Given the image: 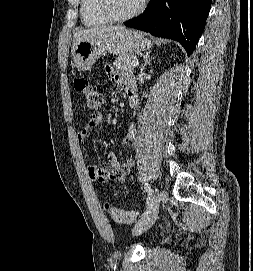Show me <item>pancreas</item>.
Masks as SVG:
<instances>
[{
	"label": "pancreas",
	"instance_id": "1",
	"mask_svg": "<svg viewBox=\"0 0 253 271\" xmlns=\"http://www.w3.org/2000/svg\"><path fill=\"white\" fill-rule=\"evenodd\" d=\"M134 61H137L135 55L125 54L118 56L113 64L119 70L132 72L134 70L132 66Z\"/></svg>",
	"mask_w": 253,
	"mask_h": 271
}]
</instances>
